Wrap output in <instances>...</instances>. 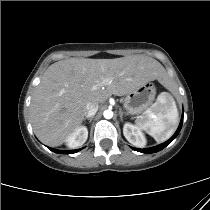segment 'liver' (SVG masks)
Wrapping results in <instances>:
<instances>
[{
  "mask_svg": "<svg viewBox=\"0 0 210 210\" xmlns=\"http://www.w3.org/2000/svg\"><path fill=\"white\" fill-rule=\"evenodd\" d=\"M158 80L166 85L163 66L155 59L132 55L115 59L69 58L50 65L30 105L31 123L46 145H62L83 122L87 103H104Z\"/></svg>",
  "mask_w": 210,
  "mask_h": 210,
  "instance_id": "liver-1",
  "label": "liver"
}]
</instances>
